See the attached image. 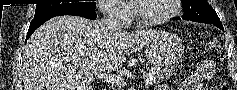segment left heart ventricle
I'll return each mask as SVG.
<instances>
[{"label": "left heart ventricle", "instance_id": "b2bd125f", "mask_svg": "<svg viewBox=\"0 0 237 90\" xmlns=\"http://www.w3.org/2000/svg\"><path fill=\"white\" fill-rule=\"evenodd\" d=\"M136 7L141 17L147 19L157 18L169 10V0L136 1Z\"/></svg>", "mask_w": 237, "mask_h": 90}]
</instances>
